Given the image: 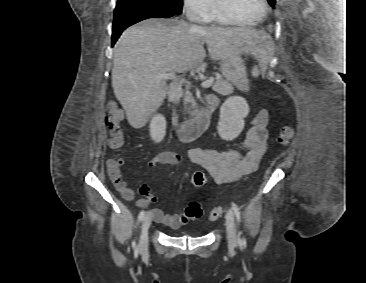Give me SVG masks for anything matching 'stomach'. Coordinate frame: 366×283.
<instances>
[{"mask_svg":"<svg viewBox=\"0 0 366 283\" xmlns=\"http://www.w3.org/2000/svg\"><path fill=\"white\" fill-rule=\"evenodd\" d=\"M220 68L223 76L231 83L240 85L241 75L244 72V64L239 52H234L232 56L221 59Z\"/></svg>","mask_w":366,"mask_h":283,"instance_id":"stomach-1","label":"stomach"}]
</instances>
